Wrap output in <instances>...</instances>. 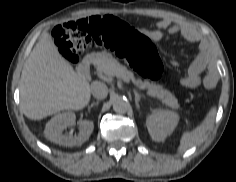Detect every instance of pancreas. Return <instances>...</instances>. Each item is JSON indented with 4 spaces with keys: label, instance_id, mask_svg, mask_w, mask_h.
I'll return each mask as SVG.
<instances>
[{
    "label": "pancreas",
    "instance_id": "1",
    "mask_svg": "<svg viewBox=\"0 0 236 182\" xmlns=\"http://www.w3.org/2000/svg\"><path fill=\"white\" fill-rule=\"evenodd\" d=\"M91 60L98 72L108 76L116 75L118 77H127L138 87L147 89L149 95L161 100L167 106L173 109L179 108L177 98L169 90L159 84L150 83L147 80L142 81L140 79H136L134 74L125 66L121 65L115 58L112 57L110 53H93L91 55Z\"/></svg>",
    "mask_w": 236,
    "mask_h": 182
}]
</instances>
